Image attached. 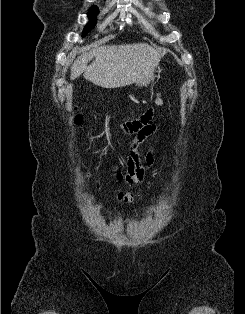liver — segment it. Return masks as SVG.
<instances>
[{"label":"liver","instance_id":"1","mask_svg":"<svg viewBox=\"0 0 245 314\" xmlns=\"http://www.w3.org/2000/svg\"><path fill=\"white\" fill-rule=\"evenodd\" d=\"M164 53L146 43L99 46L74 61L70 78L83 74L87 81L106 88L130 85L152 74Z\"/></svg>","mask_w":245,"mask_h":314}]
</instances>
